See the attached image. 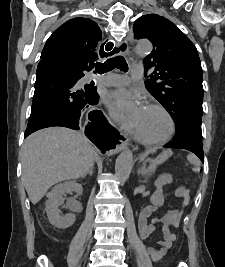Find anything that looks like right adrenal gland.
I'll return each mask as SVG.
<instances>
[{
  "instance_id": "right-adrenal-gland-1",
  "label": "right adrenal gland",
  "mask_w": 225,
  "mask_h": 267,
  "mask_svg": "<svg viewBox=\"0 0 225 267\" xmlns=\"http://www.w3.org/2000/svg\"><path fill=\"white\" fill-rule=\"evenodd\" d=\"M94 164H95V162L92 164V166H91L90 169L87 171V173L84 175V177H86L87 174H90L91 176L93 175Z\"/></svg>"
}]
</instances>
